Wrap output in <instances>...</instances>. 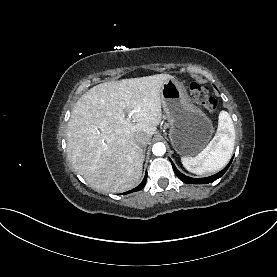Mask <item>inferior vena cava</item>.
<instances>
[{"label":"inferior vena cava","mask_w":277,"mask_h":277,"mask_svg":"<svg viewBox=\"0 0 277 277\" xmlns=\"http://www.w3.org/2000/svg\"><path fill=\"white\" fill-rule=\"evenodd\" d=\"M135 141L141 147H145L149 143L150 139L146 135H144L143 133H138L135 136Z\"/></svg>","instance_id":"inferior-vena-cava-1"}]
</instances>
